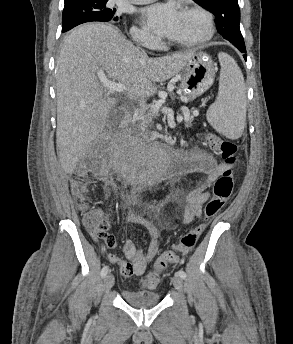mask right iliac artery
Returning a JSON list of instances; mask_svg holds the SVG:
<instances>
[{
  "instance_id": "82829eb1",
  "label": "right iliac artery",
  "mask_w": 293,
  "mask_h": 344,
  "mask_svg": "<svg viewBox=\"0 0 293 344\" xmlns=\"http://www.w3.org/2000/svg\"><path fill=\"white\" fill-rule=\"evenodd\" d=\"M108 272H109V266H104L101 270V276L105 277Z\"/></svg>"
}]
</instances>
